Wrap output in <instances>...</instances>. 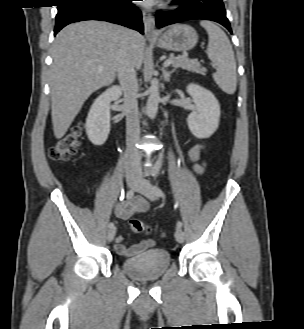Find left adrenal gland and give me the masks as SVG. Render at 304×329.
Wrapping results in <instances>:
<instances>
[{
	"mask_svg": "<svg viewBox=\"0 0 304 329\" xmlns=\"http://www.w3.org/2000/svg\"><path fill=\"white\" fill-rule=\"evenodd\" d=\"M175 72V70L167 71L164 67H162V73L164 77V81L169 82L171 75Z\"/></svg>",
	"mask_w": 304,
	"mask_h": 329,
	"instance_id": "obj_1",
	"label": "left adrenal gland"
}]
</instances>
